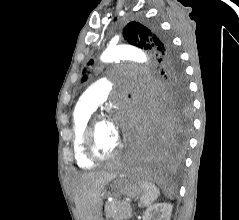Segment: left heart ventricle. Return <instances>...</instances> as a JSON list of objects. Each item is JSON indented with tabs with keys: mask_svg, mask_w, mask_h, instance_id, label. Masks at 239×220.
Wrapping results in <instances>:
<instances>
[{
	"mask_svg": "<svg viewBox=\"0 0 239 220\" xmlns=\"http://www.w3.org/2000/svg\"><path fill=\"white\" fill-rule=\"evenodd\" d=\"M119 142V134L110 121H100L95 127V144L99 153L108 154Z\"/></svg>",
	"mask_w": 239,
	"mask_h": 220,
	"instance_id": "obj_1",
	"label": "left heart ventricle"
}]
</instances>
